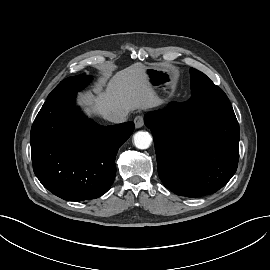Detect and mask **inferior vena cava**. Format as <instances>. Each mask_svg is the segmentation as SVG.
I'll use <instances>...</instances> for the list:
<instances>
[{
  "mask_svg": "<svg viewBox=\"0 0 270 270\" xmlns=\"http://www.w3.org/2000/svg\"><path fill=\"white\" fill-rule=\"evenodd\" d=\"M128 113H129L128 110L117 109V110L108 112L105 115V118L110 122L119 124L127 120Z\"/></svg>",
  "mask_w": 270,
  "mask_h": 270,
  "instance_id": "obj_1",
  "label": "inferior vena cava"
}]
</instances>
